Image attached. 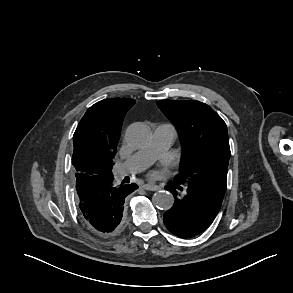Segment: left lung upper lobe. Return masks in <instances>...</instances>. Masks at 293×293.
I'll return each instance as SVG.
<instances>
[{
	"label": "left lung upper lobe",
	"mask_w": 293,
	"mask_h": 293,
	"mask_svg": "<svg viewBox=\"0 0 293 293\" xmlns=\"http://www.w3.org/2000/svg\"><path fill=\"white\" fill-rule=\"evenodd\" d=\"M157 104L177 127L183 140L180 172L174 180L194 182L224 196L230 158L225 122L199 101L162 100Z\"/></svg>",
	"instance_id": "5c2ea615"
}]
</instances>
